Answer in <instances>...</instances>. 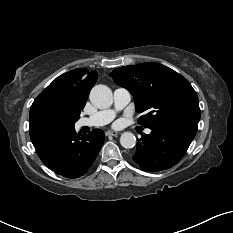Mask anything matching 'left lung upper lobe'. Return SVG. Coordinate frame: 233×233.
Returning a JSON list of instances; mask_svg holds the SVG:
<instances>
[{"label": "left lung upper lobe", "mask_w": 233, "mask_h": 233, "mask_svg": "<svg viewBox=\"0 0 233 233\" xmlns=\"http://www.w3.org/2000/svg\"><path fill=\"white\" fill-rule=\"evenodd\" d=\"M116 84L133 95L136 109L144 113L138 123L146 128L177 125L197 129L200 108L191 84L174 70L158 63L116 68Z\"/></svg>", "instance_id": "obj_1"}]
</instances>
